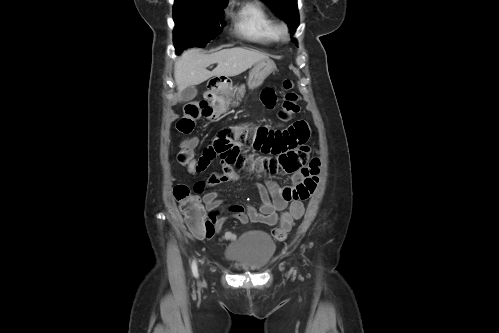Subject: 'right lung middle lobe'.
Instances as JSON below:
<instances>
[{
  "label": "right lung middle lobe",
  "instance_id": "right-lung-middle-lobe-1",
  "mask_svg": "<svg viewBox=\"0 0 499 333\" xmlns=\"http://www.w3.org/2000/svg\"><path fill=\"white\" fill-rule=\"evenodd\" d=\"M228 0H175L174 44L179 53L188 47H204L223 29V8ZM223 26V24H222Z\"/></svg>",
  "mask_w": 499,
  "mask_h": 333
}]
</instances>
